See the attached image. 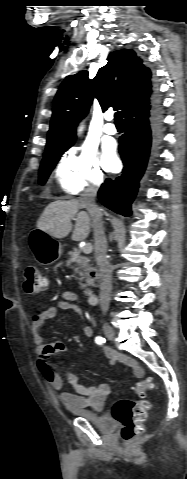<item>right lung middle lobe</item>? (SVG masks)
Segmentation results:
<instances>
[{"label": "right lung middle lobe", "mask_w": 187, "mask_h": 479, "mask_svg": "<svg viewBox=\"0 0 187 479\" xmlns=\"http://www.w3.org/2000/svg\"><path fill=\"white\" fill-rule=\"evenodd\" d=\"M69 148L70 147L57 148L46 151L40 167L39 184H45L54 166L57 164L62 154H64V152L67 151Z\"/></svg>", "instance_id": "dd1d6c3e"}]
</instances>
